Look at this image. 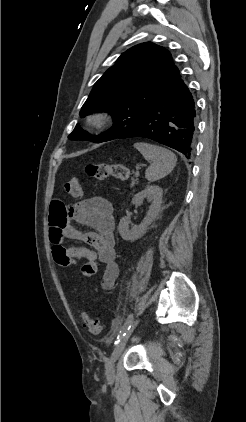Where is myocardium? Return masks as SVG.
<instances>
[{
    "mask_svg": "<svg viewBox=\"0 0 246 422\" xmlns=\"http://www.w3.org/2000/svg\"><path fill=\"white\" fill-rule=\"evenodd\" d=\"M109 120L107 113L95 112L88 117L87 123L94 130H102L108 125Z\"/></svg>",
    "mask_w": 246,
    "mask_h": 422,
    "instance_id": "f54148a6",
    "label": "myocardium"
}]
</instances>
